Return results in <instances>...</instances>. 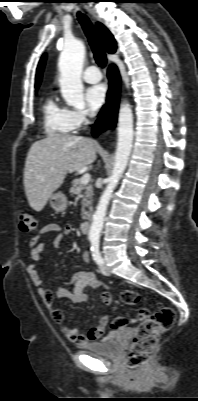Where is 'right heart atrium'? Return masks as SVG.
Returning <instances> with one entry per match:
<instances>
[{
  "label": "right heart atrium",
  "instance_id": "1",
  "mask_svg": "<svg viewBox=\"0 0 198 401\" xmlns=\"http://www.w3.org/2000/svg\"><path fill=\"white\" fill-rule=\"evenodd\" d=\"M70 116L75 129L84 125L91 117V113L86 109H73L70 110Z\"/></svg>",
  "mask_w": 198,
  "mask_h": 401
}]
</instances>
